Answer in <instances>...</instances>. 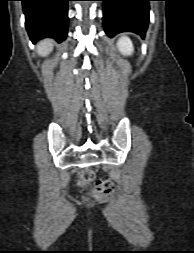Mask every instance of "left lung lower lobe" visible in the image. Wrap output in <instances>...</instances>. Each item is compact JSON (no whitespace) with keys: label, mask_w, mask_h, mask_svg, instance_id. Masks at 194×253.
<instances>
[{"label":"left lung lower lobe","mask_w":194,"mask_h":253,"mask_svg":"<svg viewBox=\"0 0 194 253\" xmlns=\"http://www.w3.org/2000/svg\"><path fill=\"white\" fill-rule=\"evenodd\" d=\"M100 1L104 2L103 25L108 36L128 31L144 38L149 23V1L153 0Z\"/></svg>","instance_id":"obj_1"}]
</instances>
